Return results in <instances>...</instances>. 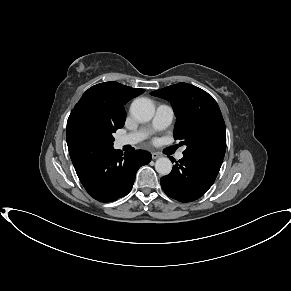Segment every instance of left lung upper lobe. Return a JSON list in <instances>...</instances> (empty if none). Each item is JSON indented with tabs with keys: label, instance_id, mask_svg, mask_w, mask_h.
Returning <instances> with one entry per match:
<instances>
[{
	"label": "left lung upper lobe",
	"instance_id": "obj_1",
	"mask_svg": "<svg viewBox=\"0 0 291 291\" xmlns=\"http://www.w3.org/2000/svg\"><path fill=\"white\" fill-rule=\"evenodd\" d=\"M151 95L171 103L177 118L174 138L187 146L184 156L222 163L226 150L225 123L210 94L194 85L178 83Z\"/></svg>",
	"mask_w": 291,
	"mask_h": 291
}]
</instances>
